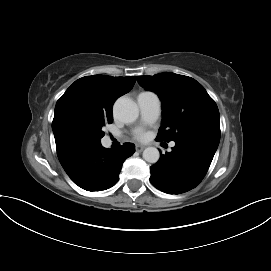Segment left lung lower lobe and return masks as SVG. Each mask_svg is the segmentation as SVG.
I'll list each match as a JSON object with an SVG mask.
<instances>
[{"label":"left lung lower lobe","mask_w":271,"mask_h":271,"mask_svg":"<svg viewBox=\"0 0 271 271\" xmlns=\"http://www.w3.org/2000/svg\"><path fill=\"white\" fill-rule=\"evenodd\" d=\"M217 147L193 138L176 141L172 151L166 155L160 153L159 161L150 167L151 184L168 194L195 188L208 171Z\"/></svg>","instance_id":"obj_1"}]
</instances>
